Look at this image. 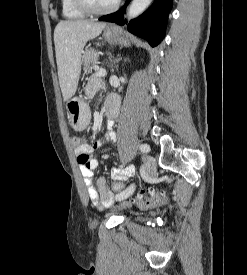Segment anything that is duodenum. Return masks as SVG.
<instances>
[{
	"label": "duodenum",
	"instance_id": "duodenum-1",
	"mask_svg": "<svg viewBox=\"0 0 247 275\" xmlns=\"http://www.w3.org/2000/svg\"><path fill=\"white\" fill-rule=\"evenodd\" d=\"M118 107L116 105L110 104L108 106V115L113 117L117 113Z\"/></svg>",
	"mask_w": 247,
	"mask_h": 275
}]
</instances>
